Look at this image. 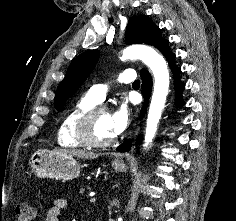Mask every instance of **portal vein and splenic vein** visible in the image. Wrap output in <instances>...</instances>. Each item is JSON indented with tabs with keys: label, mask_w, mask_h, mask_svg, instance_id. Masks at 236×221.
<instances>
[{
	"label": "portal vein and splenic vein",
	"mask_w": 236,
	"mask_h": 221,
	"mask_svg": "<svg viewBox=\"0 0 236 221\" xmlns=\"http://www.w3.org/2000/svg\"><path fill=\"white\" fill-rule=\"evenodd\" d=\"M90 202H96V198L95 197L90 198Z\"/></svg>",
	"instance_id": "18ae733b"
}]
</instances>
